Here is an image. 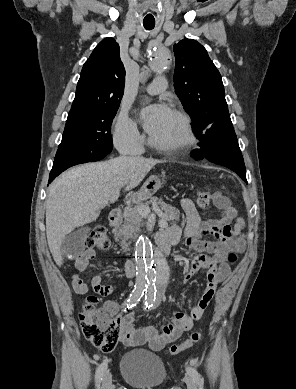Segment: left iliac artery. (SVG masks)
<instances>
[{
    "label": "left iliac artery",
    "instance_id": "44dca946",
    "mask_svg": "<svg viewBox=\"0 0 296 389\" xmlns=\"http://www.w3.org/2000/svg\"><path fill=\"white\" fill-rule=\"evenodd\" d=\"M146 294L145 295V300L146 299H149V292L147 293L146 291ZM145 305L146 307L148 306L147 304V301L145 302ZM187 370V373L191 376V378L194 380V382L197 383L199 389H203V378L201 377V375L197 372V370H195L194 368L192 367H187L186 368Z\"/></svg>",
    "mask_w": 296,
    "mask_h": 389
}]
</instances>
